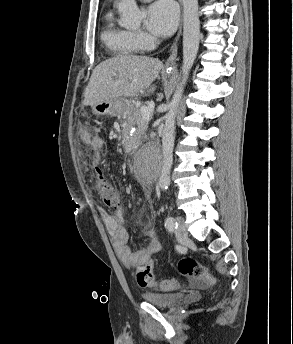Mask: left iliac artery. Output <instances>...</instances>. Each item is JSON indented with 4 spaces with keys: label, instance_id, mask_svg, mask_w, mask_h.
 Returning a JSON list of instances; mask_svg holds the SVG:
<instances>
[{
    "label": "left iliac artery",
    "instance_id": "44dca946",
    "mask_svg": "<svg viewBox=\"0 0 293 344\" xmlns=\"http://www.w3.org/2000/svg\"><path fill=\"white\" fill-rule=\"evenodd\" d=\"M178 224L176 220L172 216H168L165 220V227L168 229V231H173L175 228H177Z\"/></svg>",
    "mask_w": 293,
    "mask_h": 344
}]
</instances>
